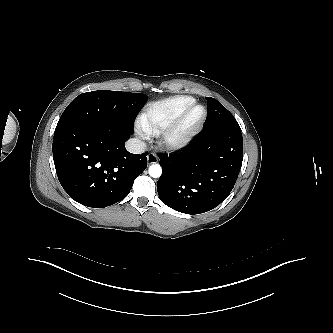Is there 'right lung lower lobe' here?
Listing matches in <instances>:
<instances>
[{
  "mask_svg": "<svg viewBox=\"0 0 333 333\" xmlns=\"http://www.w3.org/2000/svg\"><path fill=\"white\" fill-rule=\"evenodd\" d=\"M129 133L57 125L53 159L59 182L78 203L102 208L124 199L147 167V153L125 148Z\"/></svg>",
  "mask_w": 333,
  "mask_h": 333,
  "instance_id": "1",
  "label": "right lung lower lobe"
}]
</instances>
